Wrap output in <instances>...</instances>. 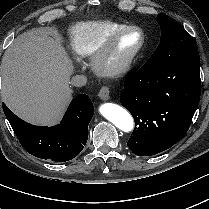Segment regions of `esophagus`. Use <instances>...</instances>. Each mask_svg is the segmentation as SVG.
Here are the masks:
<instances>
[{
	"label": "esophagus",
	"mask_w": 209,
	"mask_h": 209,
	"mask_svg": "<svg viewBox=\"0 0 209 209\" xmlns=\"http://www.w3.org/2000/svg\"><path fill=\"white\" fill-rule=\"evenodd\" d=\"M98 96H99V98H100L101 100H103V101L109 100V98H110V90H109V87L103 86V87L100 89V91H99V93H98Z\"/></svg>",
	"instance_id": "esophagus-1"
}]
</instances>
